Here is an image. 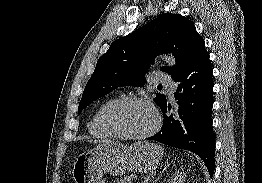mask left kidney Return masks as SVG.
<instances>
[{
    "label": "left kidney",
    "mask_w": 262,
    "mask_h": 183,
    "mask_svg": "<svg viewBox=\"0 0 262 183\" xmlns=\"http://www.w3.org/2000/svg\"><path fill=\"white\" fill-rule=\"evenodd\" d=\"M185 181V174L184 172H175V174L170 178L168 181L169 183H184Z\"/></svg>",
    "instance_id": "5707ae66"
}]
</instances>
